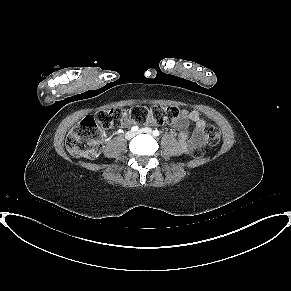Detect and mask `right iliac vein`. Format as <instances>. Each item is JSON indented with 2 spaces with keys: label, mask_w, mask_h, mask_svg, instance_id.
Returning <instances> with one entry per match:
<instances>
[{
  "label": "right iliac vein",
  "mask_w": 291,
  "mask_h": 291,
  "mask_svg": "<svg viewBox=\"0 0 291 291\" xmlns=\"http://www.w3.org/2000/svg\"><path fill=\"white\" fill-rule=\"evenodd\" d=\"M135 133L133 131H129L125 134L126 139H132L134 137Z\"/></svg>",
  "instance_id": "right-iliac-vein-1"
}]
</instances>
